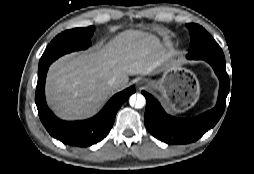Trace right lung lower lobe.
<instances>
[{"mask_svg": "<svg viewBox=\"0 0 254 174\" xmlns=\"http://www.w3.org/2000/svg\"><path fill=\"white\" fill-rule=\"evenodd\" d=\"M49 65L38 71L35 103L40 120L49 134L64 144L87 147L104 139L111 130L115 116L123 102L135 92L134 87L114 95L93 118L84 121L66 122L58 119L45 101V78Z\"/></svg>", "mask_w": 254, "mask_h": 174, "instance_id": "obj_1", "label": "right lung lower lobe"}]
</instances>
